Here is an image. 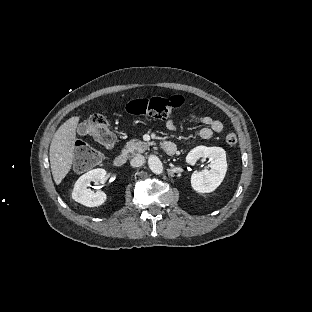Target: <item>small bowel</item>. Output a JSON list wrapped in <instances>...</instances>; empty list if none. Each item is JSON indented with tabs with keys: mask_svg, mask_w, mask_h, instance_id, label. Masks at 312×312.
<instances>
[{
	"mask_svg": "<svg viewBox=\"0 0 312 312\" xmlns=\"http://www.w3.org/2000/svg\"><path fill=\"white\" fill-rule=\"evenodd\" d=\"M191 117L196 123L204 125L199 132L200 137L203 139H209L214 133L223 131V123L220 120L203 115H192ZM165 127L169 131L177 129L176 123L172 118L166 119Z\"/></svg>",
	"mask_w": 312,
	"mask_h": 312,
	"instance_id": "c3829d8e",
	"label": "small bowel"
}]
</instances>
